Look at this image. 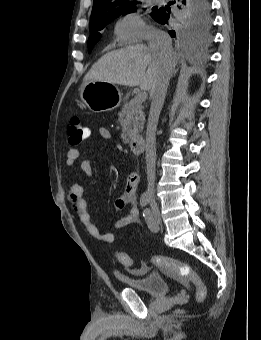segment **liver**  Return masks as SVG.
<instances>
[{"instance_id": "liver-1", "label": "liver", "mask_w": 261, "mask_h": 340, "mask_svg": "<svg viewBox=\"0 0 261 340\" xmlns=\"http://www.w3.org/2000/svg\"><path fill=\"white\" fill-rule=\"evenodd\" d=\"M176 64L174 54L161 59L145 45L128 46L103 55L85 75L83 85L94 80L152 90L160 75Z\"/></svg>"}]
</instances>
